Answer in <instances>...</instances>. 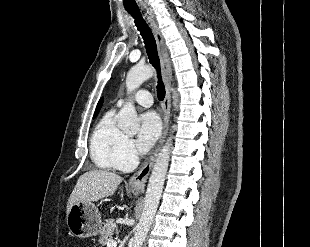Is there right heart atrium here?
Masks as SVG:
<instances>
[{
  "label": "right heart atrium",
  "instance_id": "obj_1",
  "mask_svg": "<svg viewBox=\"0 0 310 247\" xmlns=\"http://www.w3.org/2000/svg\"><path fill=\"white\" fill-rule=\"evenodd\" d=\"M135 159L136 150L133 141L129 138H126L121 149L119 169L129 168L134 163Z\"/></svg>",
  "mask_w": 310,
  "mask_h": 247
}]
</instances>
